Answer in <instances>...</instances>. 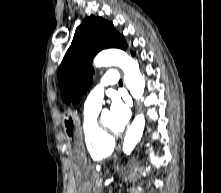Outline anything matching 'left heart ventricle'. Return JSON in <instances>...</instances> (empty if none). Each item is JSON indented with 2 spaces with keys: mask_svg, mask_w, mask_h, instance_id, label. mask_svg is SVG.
<instances>
[{
  "mask_svg": "<svg viewBox=\"0 0 221 193\" xmlns=\"http://www.w3.org/2000/svg\"><path fill=\"white\" fill-rule=\"evenodd\" d=\"M102 121L104 123V125L109 129V130H112V131H117L116 128H115V125L113 123V119H112V116L110 113H105L103 116H102Z\"/></svg>",
  "mask_w": 221,
  "mask_h": 193,
  "instance_id": "left-heart-ventricle-1",
  "label": "left heart ventricle"
}]
</instances>
